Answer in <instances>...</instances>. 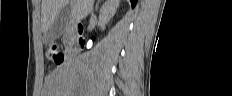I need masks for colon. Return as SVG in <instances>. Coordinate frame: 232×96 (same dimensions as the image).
<instances>
[{
	"mask_svg": "<svg viewBox=\"0 0 232 96\" xmlns=\"http://www.w3.org/2000/svg\"><path fill=\"white\" fill-rule=\"evenodd\" d=\"M47 55L55 64H60L64 60V55L57 45H50L47 50Z\"/></svg>",
	"mask_w": 232,
	"mask_h": 96,
	"instance_id": "obj_1",
	"label": "colon"
}]
</instances>
